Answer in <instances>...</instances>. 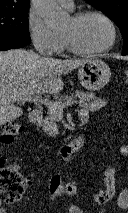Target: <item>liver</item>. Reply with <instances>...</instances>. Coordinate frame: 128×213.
I'll list each match as a JSON object with an SVG mask.
<instances>
[{
  "label": "liver",
  "instance_id": "1",
  "mask_svg": "<svg viewBox=\"0 0 128 213\" xmlns=\"http://www.w3.org/2000/svg\"><path fill=\"white\" fill-rule=\"evenodd\" d=\"M86 61L41 58L23 49L0 51V126L23 114L15 101L34 94L59 93L64 85L61 75Z\"/></svg>",
  "mask_w": 128,
  "mask_h": 213
}]
</instances>
